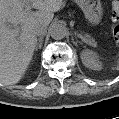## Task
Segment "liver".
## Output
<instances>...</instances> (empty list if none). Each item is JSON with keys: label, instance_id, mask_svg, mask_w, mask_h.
I'll return each mask as SVG.
<instances>
[{"label": "liver", "instance_id": "liver-1", "mask_svg": "<svg viewBox=\"0 0 119 119\" xmlns=\"http://www.w3.org/2000/svg\"><path fill=\"white\" fill-rule=\"evenodd\" d=\"M24 4L38 11L26 13ZM63 4V0H0L1 83L13 85L22 79L37 47L35 27L49 25Z\"/></svg>", "mask_w": 119, "mask_h": 119}]
</instances>
